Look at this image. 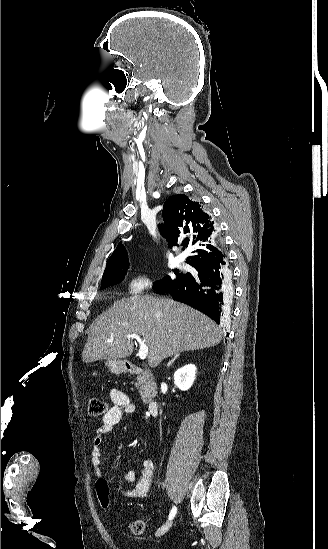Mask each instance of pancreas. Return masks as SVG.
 Segmentation results:
<instances>
[{
	"mask_svg": "<svg viewBox=\"0 0 328 549\" xmlns=\"http://www.w3.org/2000/svg\"><path fill=\"white\" fill-rule=\"evenodd\" d=\"M137 381L136 387L139 389L143 403H149L152 395H156L157 393L156 383L152 381L150 375H147V373H144L142 377H137Z\"/></svg>",
	"mask_w": 328,
	"mask_h": 549,
	"instance_id": "cf45deb5",
	"label": "pancreas"
}]
</instances>
